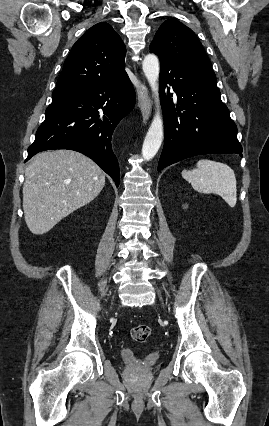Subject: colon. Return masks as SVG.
Wrapping results in <instances>:
<instances>
[{"instance_id": "obj_1", "label": "colon", "mask_w": 269, "mask_h": 426, "mask_svg": "<svg viewBox=\"0 0 269 426\" xmlns=\"http://www.w3.org/2000/svg\"><path fill=\"white\" fill-rule=\"evenodd\" d=\"M132 338L137 343H146L151 336V328L146 324H137L132 328Z\"/></svg>"}]
</instances>
